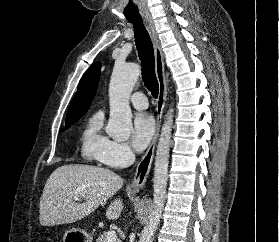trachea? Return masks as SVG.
Segmentation results:
<instances>
[{
  "mask_svg": "<svg viewBox=\"0 0 279 242\" xmlns=\"http://www.w3.org/2000/svg\"><path fill=\"white\" fill-rule=\"evenodd\" d=\"M134 27L135 42L141 60L142 79L154 98L159 94V83L155 73L154 49L151 38L142 20L129 21Z\"/></svg>",
  "mask_w": 279,
  "mask_h": 242,
  "instance_id": "obj_1",
  "label": "trachea"
}]
</instances>
